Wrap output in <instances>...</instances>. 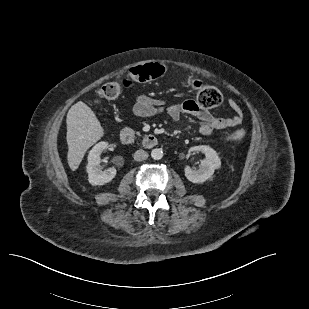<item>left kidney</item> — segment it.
I'll list each match as a JSON object with an SVG mask.
<instances>
[{
	"label": "left kidney",
	"instance_id": "left-kidney-1",
	"mask_svg": "<svg viewBox=\"0 0 309 309\" xmlns=\"http://www.w3.org/2000/svg\"><path fill=\"white\" fill-rule=\"evenodd\" d=\"M189 152H202L205 155V158L201 161V167L198 170H193L189 166L185 168V176L192 183L205 182L221 166V160L217 152L209 146H194L189 149Z\"/></svg>",
	"mask_w": 309,
	"mask_h": 309
}]
</instances>
